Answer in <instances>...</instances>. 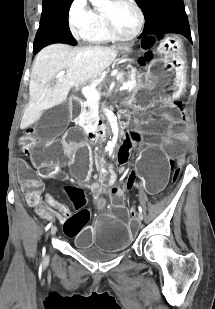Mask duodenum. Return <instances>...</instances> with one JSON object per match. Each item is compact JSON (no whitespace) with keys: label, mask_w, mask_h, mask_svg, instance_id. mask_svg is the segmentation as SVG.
Instances as JSON below:
<instances>
[{"label":"duodenum","mask_w":215,"mask_h":309,"mask_svg":"<svg viewBox=\"0 0 215 309\" xmlns=\"http://www.w3.org/2000/svg\"><path fill=\"white\" fill-rule=\"evenodd\" d=\"M117 118L121 123L127 125L130 122V116L128 114H119ZM96 127L88 133V140L93 146L100 145L108 135V123L104 118H97L95 120Z\"/></svg>","instance_id":"obj_1"}]
</instances>
